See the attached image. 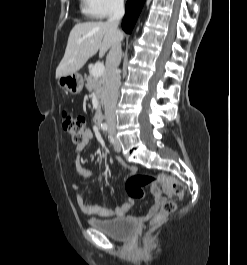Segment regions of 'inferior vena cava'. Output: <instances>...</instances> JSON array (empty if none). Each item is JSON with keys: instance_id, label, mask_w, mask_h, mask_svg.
Segmentation results:
<instances>
[{"instance_id": "obj_1", "label": "inferior vena cava", "mask_w": 247, "mask_h": 265, "mask_svg": "<svg viewBox=\"0 0 247 265\" xmlns=\"http://www.w3.org/2000/svg\"><path fill=\"white\" fill-rule=\"evenodd\" d=\"M124 15L123 0H115L113 4V14L108 19L114 28L118 29L119 21ZM121 40L119 39L111 47L106 59V86L104 95L105 119L111 130L115 128V108L118 100V90L120 86V72L118 66L121 62L122 50Z\"/></svg>"}]
</instances>
